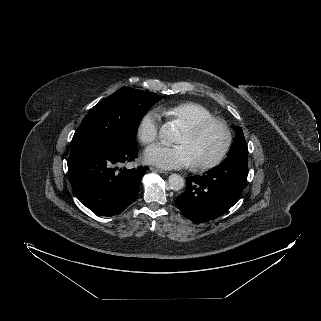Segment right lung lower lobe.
<instances>
[{
    "label": "right lung lower lobe",
    "mask_w": 321,
    "mask_h": 321,
    "mask_svg": "<svg viewBox=\"0 0 321 321\" xmlns=\"http://www.w3.org/2000/svg\"><path fill=\"white\" fill-rule=\"evenodd\" d=\"M138 156L136 145L92 141L71 145L68 174L76 197L94 213L114 216L137 197L147 167L118 168Z\"/></svg>",
    "instance_id": "right-lung-lower-lobe-1"
}]
</instances>
